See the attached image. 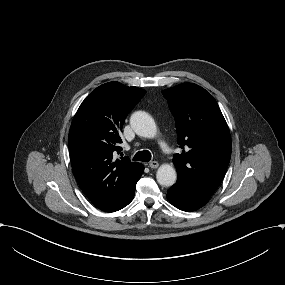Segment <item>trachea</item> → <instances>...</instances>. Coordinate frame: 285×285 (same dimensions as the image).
Instances as JSON below:
<instances>
[{
	"mask_svg": "<svg viewBox=\"0 0 285 285\" xmlns=\"http://www.w3.org/2000/svg\"><path fill=\"white\" fill-rule=\"evenodd\" d=\"M151 153L148 150L137 152L133 157L134 161L149 162L151 160Z\"/></svg>",
	"mask_w": 285,
	"mask_h": 285,
	"instance_id": "1",
	"label": "trachea"
}]
</instances>
